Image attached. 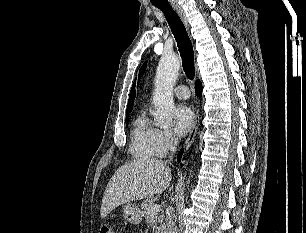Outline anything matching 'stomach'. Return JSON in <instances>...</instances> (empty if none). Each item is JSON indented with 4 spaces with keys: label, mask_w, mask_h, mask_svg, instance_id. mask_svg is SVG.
<instances>
[{
    "label": "stomach",
    "mask_w": 306,
    "mask_h": 233,
    "mask_svg": "<svg viewBox=\"0 0 306 233\" xmlns=\"http://www.w3.org/2000/svg\"><path fill=\"white\" fill-rule=\"evenodd\" d=\"M123 217L132 224H139L142 220L140 207L135 203H126L122 207Z\"/></svg>",
    "instance_id": "0dacf381"
}]
</instances>
